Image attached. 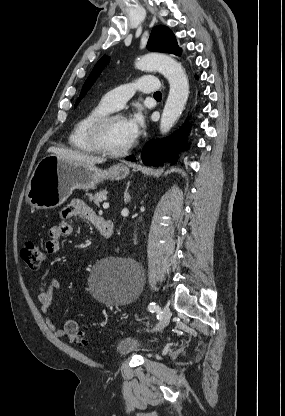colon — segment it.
<instances>
[{
  "mask_svg": "<svg viewBox=\"0 0 285 416\" xmlns=\"http://www.w3.org/2000/svg\"><path fill=\"white\" fill-rule=\"evenodd\" d=\"M21 258L31 270H38L45 259V253L40 246L32 241H27L21 248ZM64 330L67 339L71 343L78 346H86V339L75 320H67Z\"/></svg>",
  "mask_w": 285,
  "mask_h": 416,
  "instance_id": "1",
  "label": "colon"
}]
</instances>
